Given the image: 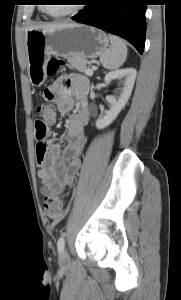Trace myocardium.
<instances>
[{
    "label": "myocardium",
    "mask_w": 181,
    "mask_h": 300,
    "mask_svg": "<svg viewBox=\"0 0 181 300\" xmlns=\"http://www.w3.org/2000/svg\"><path fill=\"white\" fill-rule=\"evenodd\" d=\"M80 4H77V6H74L71 10L61 13V14H54L52 13L47 6H43L42 9L43 11L50 17L55 18V19H59V18H63V17H67V16H71L74 15L75 13L78 12V10L80 9Z\"/></svg>",
    "instance_id": "obj_1"
}]
</instances>
